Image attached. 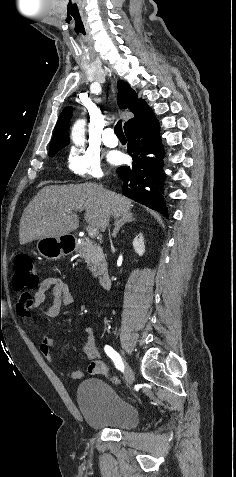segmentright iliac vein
I'll return each instance as SVG.
<instances>
[{"mask_svg": "<svg viewBox=\"0 0 236 477\" xmlns=\"http://www.w3.org/2000/svg\"><path fill=\"white\" fill-rule=\"evenodd\" d=\"M124 370H125L126 382H127V385H128L127 388L129 389L130 388L129 386L134 381V371L126 361H124Z\"/></svg>", "mask_w": 236, "mask_h": 477, "instance_id": "63e3f726", "label": "right iliac vein"}]
</instances>
